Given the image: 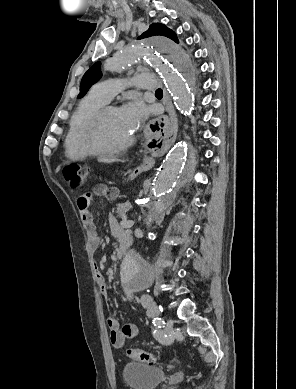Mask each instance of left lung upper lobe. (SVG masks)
Wrapping results in <instances>:
<instances>
[{
  "mask_svg": "<svg viewBox=\"0 0 296 389\" xmlns=\"http://www.w3.org/2000/svg\"><path fill=\"white\" fill-rule=\"evenodd\" d=\"M155 35L166 36L178 43L176 34L161 23H154L150 25L149 29L145 31L141 36H139L138 39H143ZM101 76L102 73L100 70V62H97L84 74L80 84V93L77 98L83 97L87 93L88 89L94 83H96L101 78Z\"/></svg>",
  "mask_w": 296,
  "mask_h": 389,
  "instance_id": "1",
  "label": "left lung upper lobe"
}]
</instances>
